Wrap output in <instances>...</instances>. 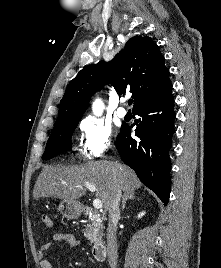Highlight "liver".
Instances as JSON below:
<instances>
[{
    "mask_svg": "<svg viewBox=\"0 0 221 268\" xmlns=\"http://www.w3.org/2000/svg\"><path fill=\"white\" fill-rule=\"evenodd\" d=\"M86 183L95 185L96 197L101 199L105 210L109 209L114 185H119L124 192L135 191L142 186L131 168L119 161L103 160L74 167H44L36 181L33 197L76 201L85 195L86 189L82 185Z\"/></svg>",
    "mask_w": 221,
    "mask_h": 268,
    "instance_id": "6515ba94",
    "label": "liver"
}]
</instances>
